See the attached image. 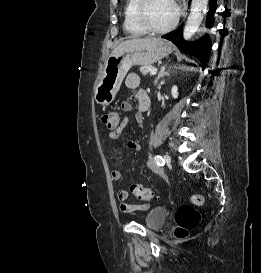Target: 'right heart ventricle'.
Wrapping results in <instances>:
<instances>
[{
	"label": "right heart ventricle",
	"mask_w": 261,
	"mask_h": 273,
	"mask_svg": "<svg viewBox=\"0 0 261 273\" xmlns=\"http://www.w3.org/2000/svg\"><path fill=\"white\" fill-rule=\"evenodd\" d=\"M138 0H126L124 6V21L123 28L126 33L130 35H141L145 33V30L142 29L134 18V10Z\"/></svg>",
	"instance_id": "1"
}]
</instances>
